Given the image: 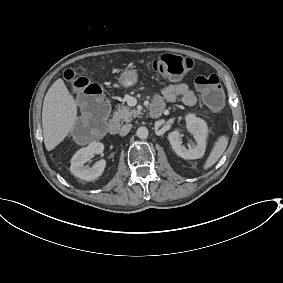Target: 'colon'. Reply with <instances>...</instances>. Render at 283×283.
Segmentation results:
<instances>
[{
  "label": "colon",
  "mask_w": 283,
  "mask_h": 283,
  "mask_svg": "<svg viewBox=\"0 0 283 283\" xmlns=\"http://www.w3.org/2000/svg\"><path fill=\"white\" fill-rule=\"evenodd\" d=\"M149 67L168 77H181L190 71L192 61L183 56L162 54L151 60ZM64 76L72 83L82 111L73 128V136L81 142L89 141L103 128L109 113V104L99 85L79 77L73 70H67ZM195 86L203 102L212 111L217 112L222 108L224 91L216 75L198 76L195 79Z\"/></svg>",
  "instance_id": "1"
}]
</instances>
